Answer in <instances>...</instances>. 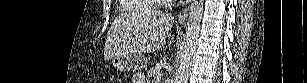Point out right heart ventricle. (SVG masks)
Wrapping results in <instances>:
<instances>
[{"label":"right heart ventricle","instance_id":"right-heart-ventricle-1","mask_svg":"<svg viewBox=\"0 0 307 83\" xmlns=\"http://www.w3.org/2000/svg\"><path fill=\"white\" fill-rule=\"evenodd\" d=\"M156 8L153 1L148 0H122V10L131 13H140Z\"/></svg>","mask_w":307,"mask_h":83}]
</instances>
